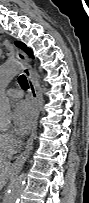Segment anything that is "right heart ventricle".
Wrapping results in <instances>:
<instances>
[{"instance_id":"e07e8e85","label":"right heart ventricle","mask_w":89,"mask_h":203,"mask_svg":"<svg viewBox=\"0 0 89 203\" xmlns=\"http://www.w3.org/2000/svg\"><path fill=\"white\" fill-rule=\"evenodd\" d=\"M13 148H11L5 141L4 134H0V159H6L14 153Z\"/></svg>"}]
</instances>
